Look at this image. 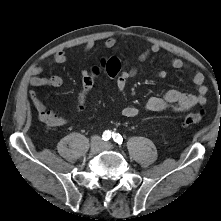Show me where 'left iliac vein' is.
<instances>
[{
    "instance_id": "4c4485c4",
    "label": "left iliac vein",
    "mask_w": 221,
    "mask_h": 221,
    "mask_svg": "<svg viewBox=\"0 0 221 221\" xmlns=\"http://www.w3.org/2000/svg\"><path fill=\"white\" fill-rule=\"evenodd\" d=\"M112 147H113V145L111 143H104L103 144L104 149L110 150V149H112Z\"/></svg>"
}]
</instances>
